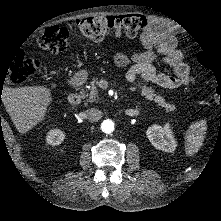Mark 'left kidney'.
I'll return each mask as SVG.
<instances>
[{
  "mask_svg": "<svg viewBox=\"0 0 221 221\" xmlns=\"http://www.w3.org/2000/svg\"><path fill=\"white\" fill-rule=\"evenodd\" d=\"M146 136L158 150L174 152L178 148V137L175 134L174 123L165 121L163 125L153 123L148 126Z\"/></svg>",
  "mask_w": 221,
  "mask_h": 221,
  "instance_id": "obj_1",
  "label": "left kidney"
}]
</instances>
